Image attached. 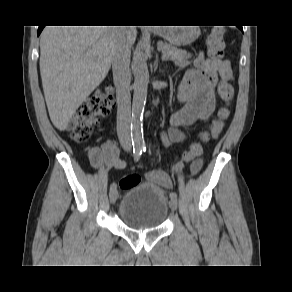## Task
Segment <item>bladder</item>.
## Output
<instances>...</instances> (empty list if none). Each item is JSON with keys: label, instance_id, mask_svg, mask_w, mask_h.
<instances>
[{"label": "bladder", "instance_id": "bladder-1", "mask_svg": "<svg viewBox=\"0 0 292 292\" xmlns=\"http://www.w3.org/2000/svg\"><path fill=\"white\" fill-rule=\"evenodd\" d=\"M169 204L164 191L153 183L126 189L119 204L120 220L135 230L160 227L168 215Z\"/></svg>", "mask_w": 292, "mask_h": 292}]
</instances>
